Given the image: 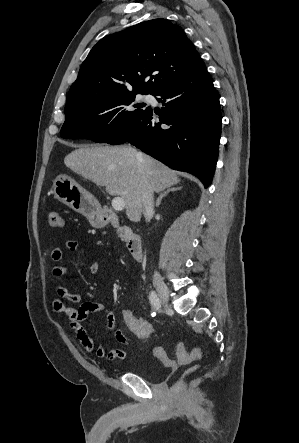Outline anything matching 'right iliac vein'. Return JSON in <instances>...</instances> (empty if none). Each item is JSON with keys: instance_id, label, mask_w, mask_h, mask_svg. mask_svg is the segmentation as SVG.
<instances>
[{"instance_id": "obj_1", "label": "right iliac vein", "mask_w": 299, "mask_h": 443, "mask_svg": "<svg viewBox=\"0 0 299 443\" xmlns=\"http://www.w3.org/2000/svg\"><path fill=\"white\" fill-rule=\"evenodd\" d=\"M154 286L160 296V299L164 305H167L169 299V290L166 284L160 277H155L153 280Z\"/></svg>"}]
</instances>
